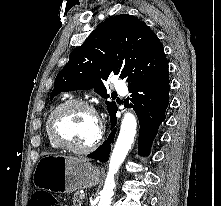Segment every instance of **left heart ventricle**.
<instances>
[{"mask_svg":"<svg viewBox=\"0 0 221 206\" xmlns=\"http://www.w3.org/2000/svg\"><path fill=\"white\" fill-rule=\"evenodd\" d=\"M56 135L74 147H85L97 134L94 115L85 107L73 105L60 111L53 121Z\"/></svg>","mask_w":221,"mask_h":206,"instance_id":"b2bd125f","label":"left heart ventricle"}]
</instances>
